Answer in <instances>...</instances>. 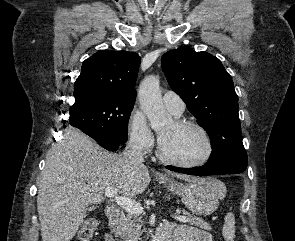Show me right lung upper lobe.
I'll return each mask as SVG.
<instances>
[{"mask_svg": "<svg viewBox=\"0 0 295 241\" xmlns=\"http://www.w3.org/2000/svg\"><path fill=\"white\" fill-rule=\"evenodd\" d=\"M140 61L135 52L98 51L83 62L74 85L75 100L102 96L135 101Z\"/></svg>", "mask_w": 295, "mask_h": 241, "instance_id": "right-lung-upper-lobe-1", "label": "right lung upper lobe"}]
</instances>
